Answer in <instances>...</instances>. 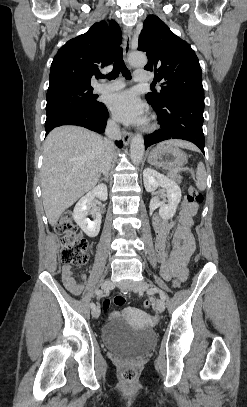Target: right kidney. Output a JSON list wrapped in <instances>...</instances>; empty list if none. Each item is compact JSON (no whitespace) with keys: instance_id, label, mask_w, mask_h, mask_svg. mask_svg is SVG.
Returning <instances> with one entry per match:
<instances>
[{"instance_id":"obj_1","label":"right kidney","mask_w":247,"mask_h":407,"mask_svg":"<svg viewBox=\"0 0 247 407\" xmlns=\"http://www.w3.org/2000/svg\"><path fill=\"white\" fill-rule=\"evenodd\" d=\"M107 196V187L105 185H98L83 196L74 207L73 219L89 237L93 238L98 235L102 219L99 212L90 210L93 200L97 198L101 201H106ZM89 213L94 217L93 221L87 218Z\"/></svg>"}]
</instances>
